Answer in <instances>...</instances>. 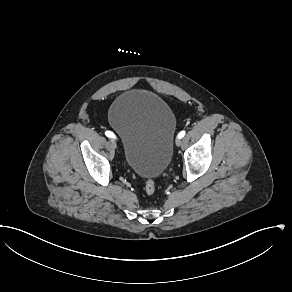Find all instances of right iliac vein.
<instances>
[{"instance_id": "1", "label": "right iliac vein", "mask_w": 292, "mask_h": 292, "mask_svg": "<svg viewBox=\"0 0 292 292\" xmlns=\"http://www.w3.org/2000/svg\"><path fill=\"white\" fill-rule=\"evenodd\" d=\"M110 145H111L113 148H116V147H117V144H116V142H115L114 139H111V140H110Z\"/></svg>"}]
</instances>
